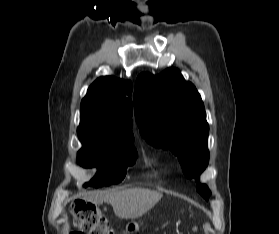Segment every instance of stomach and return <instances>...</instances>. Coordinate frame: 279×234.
<instances>
[{
	"instance_id": "1",
	"label": "stomach",
	"mask_w": 279,
	"mask_h": 234,
	"mask_svg": "<svg viewBox=\"0 0 279 234\" xmlns=\"http://www.w3.org/2000/svg\"><path fill=\"white\" fill-rule=\"evenodd\" d=\"M138 230H139V225L135 221H130L126 225V232H127V234H132L133 232H137Z\"/></svg>"
}]
</instances>
